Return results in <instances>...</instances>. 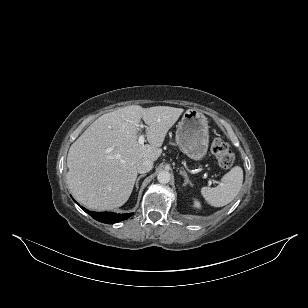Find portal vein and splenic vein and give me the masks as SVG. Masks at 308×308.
Segmentation results:
<instances>
[{
    "instance_id": "18ae733b",
    "label": "portal vein and splenic vein",
    "mask_w": 308,
    "mask_h": 308,
    "mask_svg": "<svg viewBox=\"0 0 308 308\" xmlns=\"http://www.w3.org/2000/svg\"><path fill=\"white\" fill-rule=\"evenodd\" d=\"M141 127H142V125H141ZM144 141H145V136L142 134L138 138V143L142 145V144H144ZM212 182L215 183L216 181L209 180V184H212Z\"/></svg>"
}]
</instances>
